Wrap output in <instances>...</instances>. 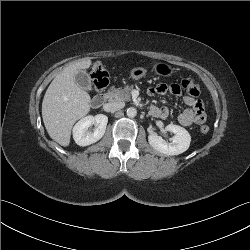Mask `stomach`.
<instances>
[{"instance_id": "0dacf381", "label": "stomach", "mask_w": 250, "mask_h": 250, "mask_svg": "<svg viewBox=\"0 0 250 250\" xmlns=\"http://www.w3.org/2000/svg\"><path fill=\"white\" fill-rule=\"evenodd\" d=\"M154 71L159 76H172L175 73V68L164 62H158L154 65ZM147 74V70L143 67H136L130 71V77L133 80H139L144 78Z\"/></svg>"}]
</instances>
